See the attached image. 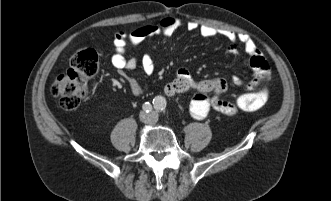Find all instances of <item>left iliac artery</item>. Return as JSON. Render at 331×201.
Listing matches in <instances>:
<instances>
[{
  "label": "left iliac artery",
  "instance_id": "left-iliac-artery-1",
  "mask_svg": "<svg viewBox=\"0 0 331 201\" xmlns=\"http://www.w3.org/2000/svg\"><path fill=\"white\" fill-rule=\"evenodd\" d=\"M166 107V101L162 97H157L154 99V108L158 111L165 110Z\"/></svg>",
  "mask_w": 331,
  "mask_h": 201
}]
</instances>
